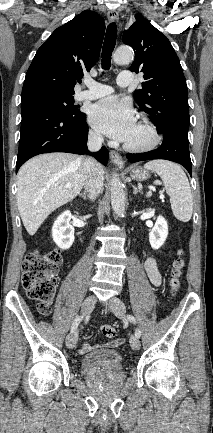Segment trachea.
<instances>
[{"label": "trachea", "mask_w": 213, "mask_h": 433, "mask_svg": "<svg viewBox=\"0 0 213 433\" xmlns=\"http://www.w3.org/2000/svg\"><path fill=\"white\" fill-rule=\"evenodd\" d=\"M117 26L115 22L107 26L105 40L102 49V69L108 70L111 67V56L116 44Z\"/></svg>", "instance_id": "1"}]
</instances>
